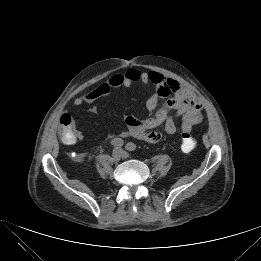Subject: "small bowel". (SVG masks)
Segmentation results:
<instances>
[{"mask_svg":"<svg viewBox=\"0 0 261 261\" xmlns=\"http://www.w3.org/2000/svg\"><path fill=\"white\" fill-rule=\"evenodd\" d=\"M135 83L154 84L155 90L146 102L147 109L153 112V115L144 120L127 116L125 118L127 128L119 133V137H133L155 143L162 139V133L157 130L161 125H164L167 134H174L178 128L176 121L179 119L181 120V131L190 133L193 127L202 121L203 106L193 91L159 72H142L134 68L123 73L113 74L107 81L76 97L73 105L80 107L93 103L99 98L107 96L113 89L128 88ZM162 99L164 102L159 105ZM170 111H174V114L170 115ZM80 139H82V134L76 131V138L71 144Z\"/></svg>","mask_w":261,"mask_h":261,"instance_id":"small-bowel-1","label":"small bowel"}]
</instances>
